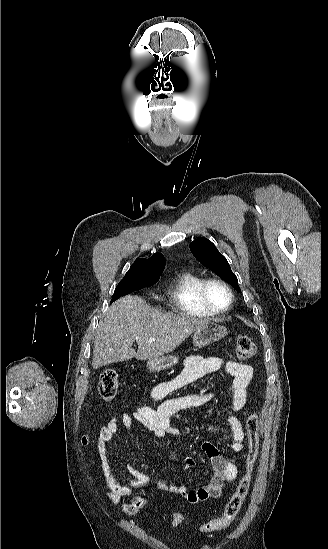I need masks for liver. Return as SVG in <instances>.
<instances>
[{
	"mask_svg": "<svg viewBox=\"0 0 328 549\" xmlns=\"http://www.w3.org/2000/svg\"><path fill=\"white\" fill-rule=\"evenodd\" d=\"M207 323L208 319H197L183 313H161L141 297L127 295L113 303L99 321L92 367L99 369L133 357L137 361L162 357ZM133 343L138 345L137 353L132 349Z\"/></svg>",
	"mask_w": 328,
	"mask_h": 549,
	"instance_id": "1",
	"label": "liver"
}]
</instances>
